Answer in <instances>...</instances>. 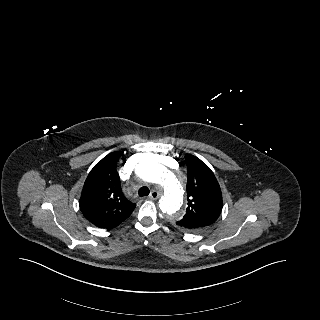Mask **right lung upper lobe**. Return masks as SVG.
<instances>
[{
	"mask_svg": "<svg viewBox=\"0 0 320 320\" xmlns=\"http://www.w3.org/2000/svg\"><path fill=\"white\" fill-rule=\"evenodd\" d=\"M120 152L100 160L88 174L79 205L84 217L99 228L112 229L127 219L136 207L120 187L116 171Z\"/></svg>",
	"mask_w": 320,
	"mask_h": 320,
	"instance_id": "right-lung-upper-lobe-1",
	"label": "right lung upper lobe"
}]
</instances>
